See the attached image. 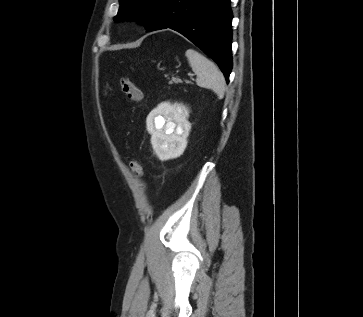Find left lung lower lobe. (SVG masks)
<instances>
[{"label": "left lung lower lobe", "mask_w": 363, "mask_h": 317, "mask_svg": "<svg viewBox=\"0 0 363 317\" xmlns=\"http://www.w3.org/2000/svg\"><path fill=\"white\" fill-rule=\"evenodd\" d=\"M230 0H161L147 32L170 28L203 49L226 81L232 69Z\"/></svg>", "instance_id": "1"}]
</instances>
